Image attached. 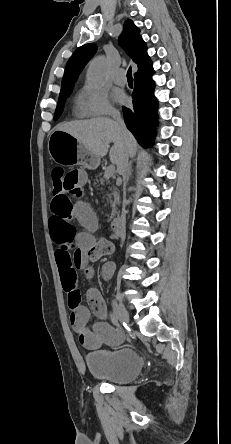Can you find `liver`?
Instances as JSON below:
<instances>
[{"mask_svg": "<svg viewBox=\"0 0 231 444\" xmlns=\"http://www.w3.org/2000/svg\"><path fill=\"white\" fill-rule=\"evenodd\" d=\"M56 130L69 133L99 158L108 153L109 144L113 143L110 161L117 169L125 156L133 157L136 154L138 147L127 129L125 135H122L115 121L107 118L67 122L58 125Z\"/></svg>", "mask_w": 231, "mask_h": 444, "instance_id": "liver-1", "label": "liver"}]
</instances>
